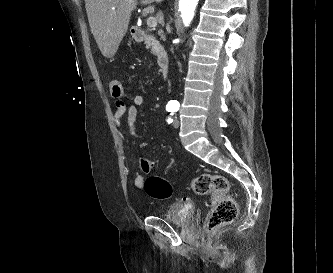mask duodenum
I'll list each match as a JSON object with an SVG mask.
<instances>
[{
	"label": "duodenum",
	"mask_w": 333,
	"mask_h": 273,
	"mask_svg": "<svg viewBox=\"0 0 333 273\" xmlns=\"http://www.w3.org/2000/svg\"><path fill=\"white\" fill-rule=\"evenodd\" d=\"M133 37L138 42H148L154 45L157 54L158 65L161 75L165 78L170 68V59L167 52L159 45L155 36L139 27H132Z\"/></svg>",
	"instance_id": "410a0bca"
}]
</instances>
